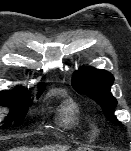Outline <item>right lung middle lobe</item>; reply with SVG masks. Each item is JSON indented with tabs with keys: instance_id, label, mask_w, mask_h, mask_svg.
<instances>
[{
	"instance_id": "obj_1",
	"label": "right lung middle lobe",
	"mask_w": 131,
	"mask_h": 151,
	"mask_svg": "<svg viewBox=\"0 0 131 151\" xmlns=\"http://www.w3.org/2000/svg\"><path fill=\"white\" fill-rule=\"evenodd\" d=\"M45 89V88H44ZM44 89H41L39 94H41ZM27 90H13V91H2L0 92V105L6 106L11 105L12 110L6 119V125L10 124L11 120H14L15 125L19 126L24 116L28 111V107L31 105L32 101L27 97Z\"/></svg>"
}]
</instances>
